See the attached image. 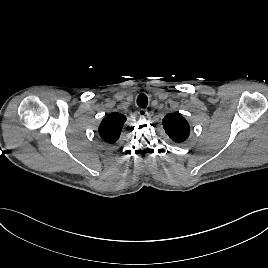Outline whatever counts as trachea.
<instances>
[{
    "label": "trachea",
    "mask_w": 268,
    "mask_h": 268,
    "mask_svg": "<svg viewBox=\"0 0 268 268\" xmlns=\"http://www.w3.org/2000/svg\"><path fill=\"white\" fill-rule=\"evenodd\" d=\"M137 105L140 108H146L147 107V105H148V97L144 93L139 94V96L137 97Z\"/></svg>",
    "instance_id": "3493384b"
}]
</instances>
